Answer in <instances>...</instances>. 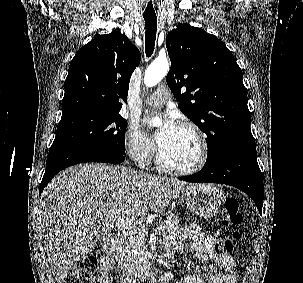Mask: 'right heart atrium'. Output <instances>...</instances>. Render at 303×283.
<instances>
[{
    "instance_id": "d8ad5b80",
    "label": "right heart atrium",
    "mask_w": 303,
    "mask_h": 283,
    "mask_svg": "<svg viewBox=\"0 0 303 283\" xmlns=\"http://www.w3.org/2000/svg\"><path fill=\"white\" fill-rule=\"evenodd\" d=\"M125 148L129 156L139 165L148 164L155 153L153 144L134 124L126 131Z\"/></svg>"
}]
</instances>
